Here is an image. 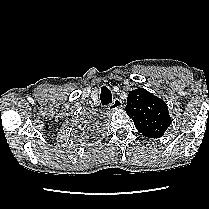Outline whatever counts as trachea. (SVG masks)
Returning a JSON list of instances; mask_svg holds the SVG:
<instances>
[{"mask_svg":"<svg viewBox=\"0 0 209 209\" xmlns=\"http://www.w3.org/2000/svg\"><path fill=\"white\" fill-rule=\"evenodd\" d=\"M101 103L103 106L112 103V93L106 86L101 87V95H100Z\"/></svg>","mask_w":209,"mask_h":209,"instance_id":"trachea-1","label":"trachea"}]
</instances>
